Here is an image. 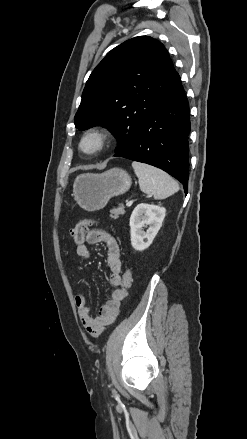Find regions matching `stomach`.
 <instances>
[{
  "mask_svg": "<svg viewBox=\"0 0 247 439\" xmlns=\"http://www.w3.org/2000/svg\"><path fill=\"white\" fill-rule=\"evenodd\" d=\"M131 183V177L121 168L101 174L86 173L75 179L73 196L83 209L96 211L104 208L112 197L126 193Z\"/></svg>",
  "mask_w": 247,
  "mask_h": 439,
  "instance_id": "1",
  "label": "stomach"
}]
</instances>
